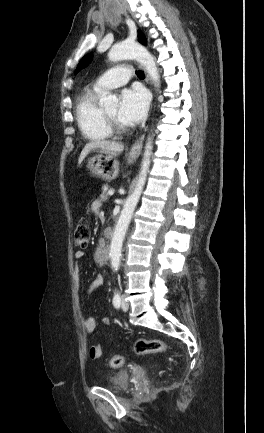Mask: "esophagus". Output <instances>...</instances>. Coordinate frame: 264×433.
Listing matches in <instances>:
<instances>
[{
	"instance_id": "obj_1",
	"label": "esophagus",
	"mask_w": 264,
	"mask_h": 433,
	"mask_svg": "<svg viewBox=\"0 0 264 433\" xmlns=\"http://www.w3.org/2000/svg\"><path fill=\"white\" fill-rule=\"evenodd\" d=\"M146 81L148 84H150V78L149 76L146 74ZM144 137L145 135H141L131 146L130 151H129V159L133 160L136 159L141 150H142V146H143V141H144Z\"/></svg>"
}]
</instances>
